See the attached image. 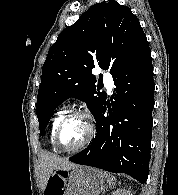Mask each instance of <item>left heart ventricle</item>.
<instances>
[{
	"label": "left heart ventricle",
	"instance_id": "obj_1",
	"mask_svg": "<svg viewBox=\"0 0 178 195\" xmlns=\"http://www.w3.org/2000/svg\"><path fill=\"white\" fill-rule=\"evenodd\" d=\"M87 135L85 120L75 118L67 122L60 133V144L66 148H73L81 144Z\"/></svg>",
	"mask_w": 178,
	"mask_h": 195
}]
</instances>
